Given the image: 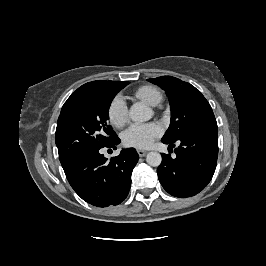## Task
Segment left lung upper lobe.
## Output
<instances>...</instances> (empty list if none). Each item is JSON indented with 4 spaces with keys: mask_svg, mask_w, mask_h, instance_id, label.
Instances as JSON below:
<instances>
[{
    "mask_svg": "<svg viewBox=\"0 0 266 266\" xmlns=\"http://www.w3.org/2000/svg\"><path fill=\"white\" fill-rule=\"evenodd\" d=\"M148 81L165 90L170 102V126L162 141L173 143L197 129L217 127L209 102L190 83L172 76L152 78Z\"/></svg>",
    "mask_w": 266,
    "mask_h": 266,
    "instance_id": "left-lung-upper-lobe-1",
    "label": "left lung upper lobe"
}]
</instances>
